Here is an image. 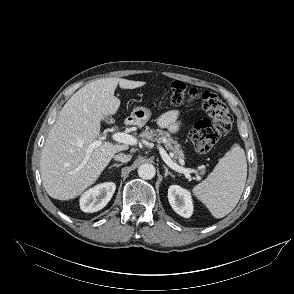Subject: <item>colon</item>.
Wrapping results in <instances>:
<instances>
[{
	"instance_id": "colon-1",
	"label": "colon",
	"mask_w": 294,
	"mask_h": 294,
	"mask_svg": "<svg viewBox=\"0 0 294 294\" xmlns=\"http://www.w3.org/2000/svg\"><path fill=\"white\" fill-rule=\"evenodd\" d=\"M171 103L199 102L206 117L194 125L190 139L195 150L199 153L208 152L232 127V116L225 103L214 93L199 92L188 88L182 82H173L167 88Z\"/></svg>"
}]
</instances>
